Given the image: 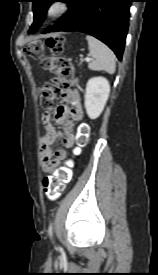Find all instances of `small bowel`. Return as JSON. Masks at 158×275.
Instances as JSON below:
<instances>
[{
  "label": "small bowel",
  "mask_w": 158,
  "mask_h": 275,
  "mask_svg": "<svg viewBox=\"0 0 158 275\" xmlns=\"http://www.w3.org/2000/svg\"><path fill=\"white\" fill-rule=\"evenodd\" d=\"M64 99L66 104L59 105L54 110L55 120L61 124L62 131L59 132L52 124V109L46 110L42 114V122L46 133L40 137V156L43 171H52L62 160L67 157L64 148L54 152L52 145L58 137H61L65 148H71L75 143L73 134L74 123L83 117L81 95L75 88L69 89Z\"/></svg>",
  "instance_id": "small-bowel-1"
}]
</instances>
